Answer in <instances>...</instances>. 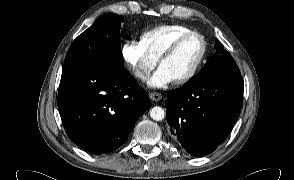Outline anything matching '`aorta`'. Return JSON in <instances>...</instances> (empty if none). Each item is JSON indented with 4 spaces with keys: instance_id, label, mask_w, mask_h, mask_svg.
Masks as SVG:
<instances>
[{
    "instance_id": "obj_1",
    "label": "aorta",
    "mask_w": 294,
    "mask_h": 180,
    "mask_svg": "<svg viewBox=\"0 0 294 180\" xmlns=\"http://www.w3.org/2000/svg\"><path fill=\"white\" fill-rule=\"evenodd\" d=\"M165 116V111L159 106H155L150 110V117L155 121H161Z\"/></svg>"
}]
</instances>
